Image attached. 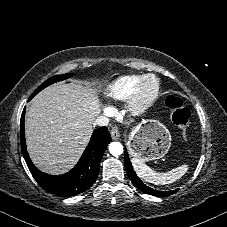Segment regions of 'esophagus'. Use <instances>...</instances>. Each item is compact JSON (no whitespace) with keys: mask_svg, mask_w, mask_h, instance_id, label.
I'll return each instance as SVG.
<instances>
[{"mask_svg":"<svg viewBox=\"0 0 227 227\" xmlns=\"http://www.w3.org/2000/svg\"><path fill=\"white\" fill-rule=\"evenodd\" d=\"M110 134H111L112 139H114V140H118L120 138V133H119L117 127H113Z\"/></svg>","mask_w":227,"mask_h":227,"instance_id":"esophagus-1","label":"esophagus"}]
</instances>
